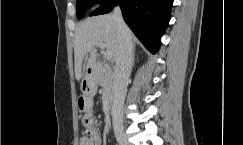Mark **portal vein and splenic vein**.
<instances>
[{
  "label": "portal vein and splenic vein",
  "mask_w": 243,
  "mask_h": 145,
  "mask_svg": "<svg viewBox=\"0 0 243 145\" xmlns=\"http://www.w3.org/2000/svg\"><path fill=\"white\" fill-rule=\"evenodd\" d=\"M96 46L100 47L101 49H105V44L102 42H97ZM103 55L106 60H110L112 58V55L109 51H104Z\"/></svg>",
  "instance_id": "18ae733b"
}]
</instances>
